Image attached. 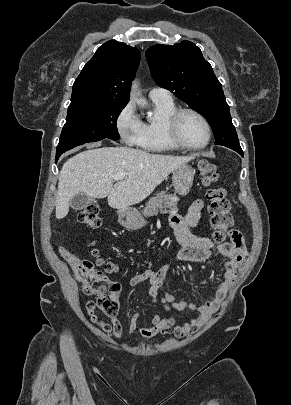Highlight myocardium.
Here are the masks:
<instances>
[{
	"instance_id": "obj_1",
	"label": "myocardium",
	"mask_w": 291,
	"mask_h": 405,
	"mask_svg": "<svg viewBox=\"0 0 291 405\" xmlns=\"http://www.w3.org/2000/svg\"><path fill=\"white\" fill-rule=\"evenodd\" d=\"M186 114L196 116L205 126L207 131L206 142L200 146H191L183 141L180 135V121ZM166 130L170 141L180 149L188 151H199L205 149L212 140V128L207 118L193 108H179L175 110L167 119Z\"/></svg>"
}]
</instances>
